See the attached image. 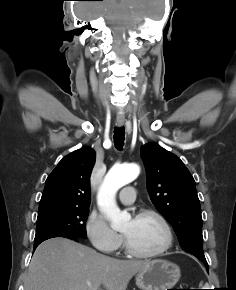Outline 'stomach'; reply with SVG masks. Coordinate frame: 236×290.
I'll return each instance as SVG.
<instances>
[{"label":"stomach","instance_id":"1","mask_svg":"<svg viewBox=\"0 0 236 290\" xmlns=\"http://www.w3.org/2000/svg\"><path fill=\"white\" fill-rule=\"evenodd\" d=\"M181 276L178 265L166 260H153L136 275V285L141 290L173 289Z\"/></svg>","mask_w":236,"mask_h":290}]
</instances>
